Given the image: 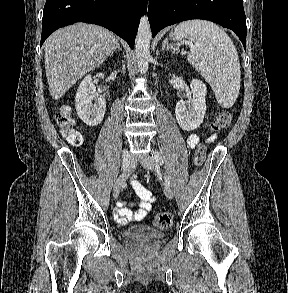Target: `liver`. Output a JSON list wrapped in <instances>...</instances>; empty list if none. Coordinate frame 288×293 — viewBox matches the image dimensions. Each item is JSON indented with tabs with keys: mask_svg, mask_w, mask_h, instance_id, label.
I'll list each match as a JSON object with an SVG mask.
<instances>
[{
	"mask_svg": "<svg viewBox=\"0 0 288 293\" xmlns=\"http://www.w3.org/2000/svg\"><path fill=\"white\" fill-rule=\"evenodd\" d=\"M109 30L76 23L52 33L44 44V59L49 91L60 99L81 77L102 64L116 48Z\"/></svg>",
	"mask_w": 288,
	"mask_h": 293,
	"instance_id": "obj_1",
	"label": "liver"
}]
</instances>
